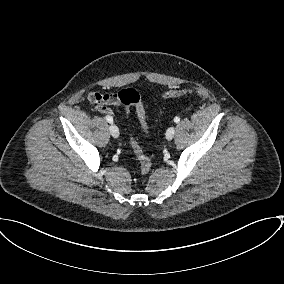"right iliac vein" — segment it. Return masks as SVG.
<instances>
[{
	"mask_svg": "<svg viewBox=\"0 0 284 284\" xmlns=\"http://www.w3.org/2000/svg\"><path fill=\"white\" fill-rule=\"evenodd\" d=\"M110 134L114 137L117 138L119 136V129L115 124H111L109 127Z\"/></svg>",
	"mask_w": 284,
	"mask_h": 284,
	"instance_id": "63e3f726",
	"label": "right iliac vein"
}]
</instances>
